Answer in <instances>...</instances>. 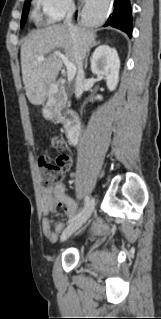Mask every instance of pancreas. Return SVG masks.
<instances>
[{"instance_id": "obj_1", "label": "pancreas", "mask_w": 161, "mask_h": 319, "mask_svg": "<svg viewBox=\"0 0 161 319\" xmlns=\"http://www.w3.org/2000/svg\"><path fill=\"white\" fill-rule=\"evenodd\" d=\"M63 105H64V100H60L53 107L54 116L60 122H64V117L61 114V109H62Z\"/></svg>"}]
</instances>
